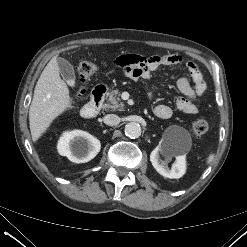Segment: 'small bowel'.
I'll use <instances>...</instances> for the list:
<instances>
[{
  "instance_id": "c3829d8e",
  "label": "small bowel",
  "mask_w": 247,
  "mask_h": 247,
  "mask_svg": "<svg viewBox=\"0 0 247 247\" xmlns=\"http://www.w3.org/2000/svg\"><path fill=\"white\" fill-rule=\"evenodd\" d=\"M183 61V58L177 54L169 55H152L142 57L136 54H124L118 57L115 61L124 74L134 80H150L152 73L161 67L178 65ZM187 68L190 73L191 80L194 86H191L187 77H181L177 81V88L182 96L176 99V107L183 113L195 114L197 107L193 100L202 96L206 91V83L202 73L193 61L187 62ZM149 96L153 95V91L148 92ZM154 113L161 119H168L172 116V109L165 105L159 104L155 107Z\"/></svg>"
}]
</instances>
